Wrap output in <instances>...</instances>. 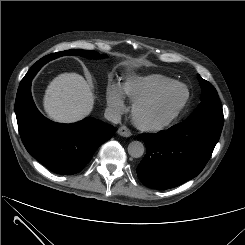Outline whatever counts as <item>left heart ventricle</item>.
<instances>
[{
  "label": "left heart ventricle",
  "mask_w": 245,
  "mask_h": 245,
  "mask_svg": "<svg viewBox=\"0 0 245 245\" xmlns=\"http://www.w3.org/2000/svg\"><path fill=\"white\" fill-rule=\"evenodd\" d=\"M185 91L177 87L169 91L163 98L146 106L141 116L150 123L159 122L170 116L183 100Z\"/></svg>",
  "instance_id": "b2bd125f"
}]
</instances>
